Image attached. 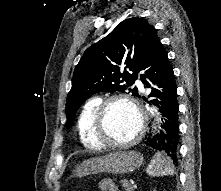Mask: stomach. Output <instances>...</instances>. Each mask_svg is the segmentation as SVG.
Wrapping results in <instances>:
<instances>
[{"label":"stomach","instance_id":"0dacf381","mask_svg":"<svg viewBox=\"0 0 221 191\" xmlns=\"http://www.w3.org/2000/svg\"><path fill=\"white\" fill-rule=\"evenodd\" d=\"M143 156L136 151H117L105 156L91 158L78 165L73 174L77 177L101 172L125 174L139 168Z\"/></svg>","mask_w":221,"mask_h":191}]
</instances>
